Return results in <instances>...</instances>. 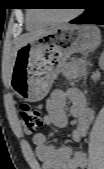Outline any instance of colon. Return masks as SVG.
Listing matches in <instances>:
<instances>
[{
  "label": "colon",
  "instance_id": "obj_1",
  "mask_svg": "<svg viewBox=\"0 0 104 169\" xmlns=\"http://www.w3.org/2000/svg\"><path fill=\"white\" fill-rule=\"evenodd\" d=\"M18 111L26 131L36 134L42 126L41 111L27 104H21Z\"/></svg>",
  "mask_w": 104,
  "mask_h": 169
}]
</instances>
